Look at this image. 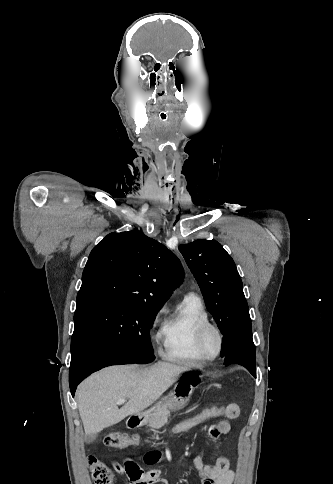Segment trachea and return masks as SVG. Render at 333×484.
Returning <instances> with one entry per match:
<instances>
[{"instance_id": "1", "label": "trachea", "mask_w": 333, "mask_h": 484, "mask_svg": "<svg viewBox=\"0 0 333 484\" xmlns=\"http://www.w3.org/2000/svg\"><path fill=\"white\" fill-rule=\"evenodd\" d=\"M161 118H162V119H165V118H166V115H165V117H162V116H161Z\"/></svg>"}]
</instances>
